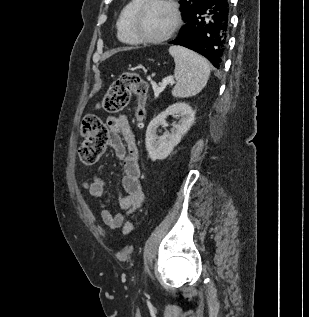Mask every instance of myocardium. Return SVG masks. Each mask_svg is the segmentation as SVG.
<instances>
[{
    "instance_id": "1",
    "label": "myocardium",
    "mask_w": 309,
    "mask_h": 317,
    "mask_svg": "<svg viewBox=\"0 0 309 317\" xmlns=\"http://www.w3.org/2000/svg\"><path fill=\"white\" fill-rule=\"evenodd\" d=\"M153 3H163L168 5L172 9L174 14L173 26L166 34L159 37H147V36H144L138 30V21L141 14L150 4H153ZM130 24H131L132 33L136 37L138 42L148 43V44H158V43L165 42L174 36V34L178 31V29L182 25V15H181L179 5L175 0H142L141 3L136 7V9L133 12L131 16Z\"/></svg>"
}]
</instances>
